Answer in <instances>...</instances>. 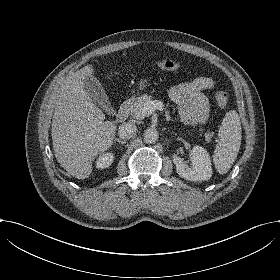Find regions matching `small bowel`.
I'll return each mask as SVG.
<instances>
[{
  "label": "small bowel",
  "mask_w": 280,
  "mask_h": 280,
  "mask_svg": "<svg viewBox=\"0 0 280 280\" xmlns=\"http://www.w3.org/2000/svg\"><path fill=\"white\" fill-rule=\"evenodd\" d=\"M214 86L215 82L212 78L197 77L190 82L180 83L169 89V97L177 104L182 122L196 125L207 120L209 104L203 91L212 90Z\"/></svg>",
  "instance_id": "obj_1"
}]
</instances>
